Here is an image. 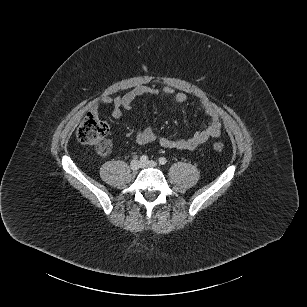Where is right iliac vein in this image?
Segmentation results:
<instances>
[{
	"instance_id": "right-iliac-vein-1",
	"label": "right iliac vein",
	"mask_w": 307,
	"mask_h": 307,
	"mask_svg": "<svg viewBox=\"0 0 307 307\" xmlns=\"http://www.w3.org/2000/svg\"><path fill=\"white\" fill-rule=\"evenodd\" d=\"M140 167H141V163H140L139 160L134 159V160L131 161V163H130L131 170L137 171Z\"/></svg>"
}]
</instances>
